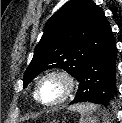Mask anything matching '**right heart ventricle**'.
<instances>
[{
    "label": "right heart ventricle",
    "instance_id": "1",
    "mask_svg": "<svg viewBox=\"0 0 122 123\" xmlns=\"http://www.w3.org/2000/svg\"><path fill=\"white\" fill-rule=\"evenodd\" d=\"M33 96H34V98H35V91H34V93H33Z\"/></svg>",
    "mask_w": 122,
    "mask_h": 123
}]
</instances>
